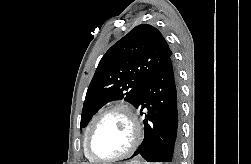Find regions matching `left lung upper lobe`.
I'll return each mask as SVG.
<instances>
[{
    "label": "left lung upper lobe",
    "mask_w": 251,
    "mask_h": 164,
    "mask_svg": "<svg viewBox=\"0 0 251 164\" xmlns=\"http://www.w3.org/2000/svg\"><path fill=\"white\" fill-rule=\"evenodd\" d=\"M172 56L155 27L141 24L115 43L100 60L90 82L81 126L105 103L121 100L136 107L148 79Z\"/></svg>",
    "instance_id": "obj_1"
}]
</instances>
